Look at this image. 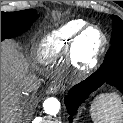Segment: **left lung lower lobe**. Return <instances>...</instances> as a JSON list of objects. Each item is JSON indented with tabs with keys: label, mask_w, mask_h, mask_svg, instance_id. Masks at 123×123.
Returning a JSON list of instances; mask_svg holds the SVG:
<instances>
[{
	"label": "left lung lower lobe",
	"mask_w": 123,
	"mask_h": 123,
	"mask_svg": "<svg viewBox=\"0 0 123 123\" xmlns=\"http://www.w3.org/2000/svg\"><path fill=\"white\" fill-rule=\"evenodd\" d=\"M110 84L123 93V66L107 68L103 64L100 68L84 81L75 85L65 97V105L69 113V121L72 123L73 116L78 107L103 84Z\"/></svg>",
	"instance_id": "0a47b994"
}]
</instances>
